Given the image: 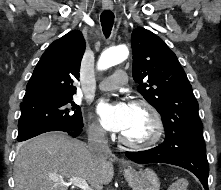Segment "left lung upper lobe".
<instances>
[{
	"instance_id": "obj_1",
	"label": "left lung upper lobe",
	"mask_w": 221,
	"mask_h": 190,
	"mask_svg": "<svg viewBox=\"0 0 221 190\" xmlns=\"http://www.w3.org/2000/svg\"><path fill=\"white\" fill-rule=\"evenodd\" d=\"M132 51L138 91L162 116L165 133L174 136L176 145L205 147L198 102L174 52L142 27L132 32Z\"/></svg>"
}]
</instances>
